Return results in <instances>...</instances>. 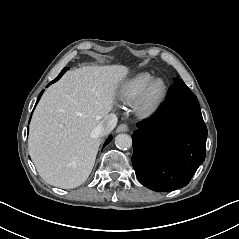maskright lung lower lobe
Wrapping results in <instances>:
<instances>
[{
  "label": "right lung lower lobe",
  "instance_id": "98d812e1",
  "mask_svg": "<svg viewBox=\"0 0 239 239\" xmlns=\"http://www.w3.org/2000/svg\"><path fill=\"white\" fill-rule=\"evenodd\" d=\"M67 69H68V68L65 67V68L61 71V73L58 75V77H57L54 81H52L50 84H52L53 82L57 81V80L66 72ZM50 84H48V86H49ZM43 92H44V90L40 93V96H39L37 102L39 101V99H40V97H41V95H42ZM111 140H112V136L110 135V136L108 137V139L106 140V142L104 143V146H103V147H105Z\"/></svg>",
  "mask_w": 239,
  "mask_h": 239
}]
</instances>
